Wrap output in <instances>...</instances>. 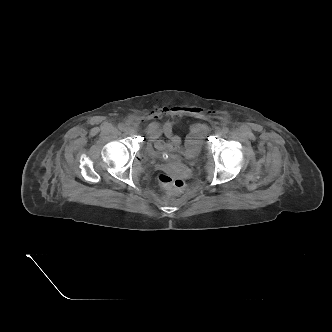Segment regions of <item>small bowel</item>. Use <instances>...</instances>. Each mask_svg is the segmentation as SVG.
Listing matches in <instances>:
<instances>
[{
  "label": "small bowel",
  "mask_w": 332,
  "mask_h": 332,
  "mask_svg": "<svg viewBox=\"0 0 332 332\" xmlns=\"http://www.w3.org/2000/svg\"><path fill=\"white\" fill-rule=\"evenodd\" d=\"M189 112V109L182 106L162 107L150 114L151 121L146 127V134L150 142L159 151H180L186 146L200 145L207 134V126L203 123H196L189 127L184 142L181 137L174 134L173 128L178 117ZM170 116L172 119L159 123L158 119Z\"/></svg>",
  "instance_id": "small-bowel-1"
}]
</instances>
